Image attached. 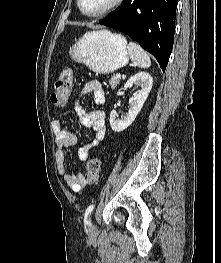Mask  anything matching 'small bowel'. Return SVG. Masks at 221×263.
<instances>
[{
    "instance_id": "c3829d8e",
    "label": "small bowel",
    "mask_w": 221,
    "mask_h": 263,
    "mask_svg": "<svg viewBox=\"0 0 221 263\" xmlns=\"http://www.w3.org/2000/svg\"><path fill=\"white\" fill-rule=\"evenodd\" d=\"M83 94H92L94 102L96 104H104L105 95L102 85L99 81L93 80L85 84ZM77 111L80 116V120L83 126L92 130L95 134V139L88 145L82 147L78 151V156L81 160H86L90 154V151L98 146V144L104 139L106 134L105 125V113L101 110L87 112L81 106H77ZM54 132L56 134V146L57 151L55 154L57 171L63 178L69 188L75 192L80 191L85 185V178L80 172H68L64 166L65 154L64 148L73 146L77 142L75 134L65 127L61 121H54L52 123Z\"/></svg>"
}]
</instances>
